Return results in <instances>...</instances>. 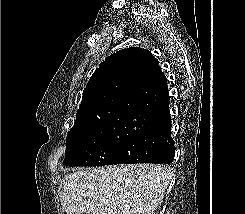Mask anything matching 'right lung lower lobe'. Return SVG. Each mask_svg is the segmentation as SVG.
I'll return each instance as SVG.
<instances>
[{"label": "right lung lower lobe", "instance_id": "1", "mask_svg": "<svg viewBox=\"0 0 245 214\" xmlns=\"http://www.w3.org/2000/svg\"><path fill=\"white\" fill-rule=\"evenodd\" d=\"M138 100L140 113L127 127L128 134L117 148V164L172 163L175 146L171 137L167 81L159 93L142 95Z\"/></svg>", "mask_w": 245, "mask_h": 214}]
</instances>
